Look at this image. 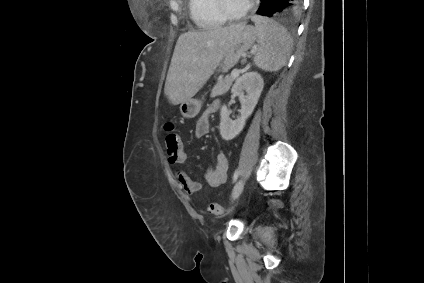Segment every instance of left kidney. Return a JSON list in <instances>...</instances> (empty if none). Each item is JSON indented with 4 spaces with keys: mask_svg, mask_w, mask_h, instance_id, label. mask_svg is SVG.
Here are the masks:
<instances>
[{
    "mask_svg": "<svg viewBox=\"0 0 424 283\" xmlns=\"http://www.w3.org/2000/svg\"><path fill=\"white\" fill-rule=\"evenodd\" d=\"M263 87V78L257 72L245 73L236 80L231 92L240 100L241 115L233 121L229 118L227 106H222L220 110L219 128L220 134L224 140H232L241 133L247 119L251 116L258 103Z\"/></svg>",
    "mask_w": 424,
    "mask_h": 283,
    "instance_id": "left-kidney-1",
    "label": "left kidney"
}]
</instances>
